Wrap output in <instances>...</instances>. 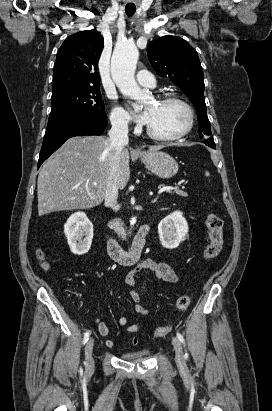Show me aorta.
Here are the masks:
<instances>
[{
  "instance_id": "aorta-1",
  "label": "aorta",
  "mask_w": 272,
  "mask_h": 411,
  "mask_svg": "<svg viewBox=\"0 0 272 411\" xmlns=\"http://www.w3.org/2000/svg\"><path fill=\"white\" fill-rule=\"evenodd\" d=\"M138 58L139 51L133 42L116 46L111 59V75L123 95L142 102L145 94L134 78Z\"/></svg>"
}]
</instances>
